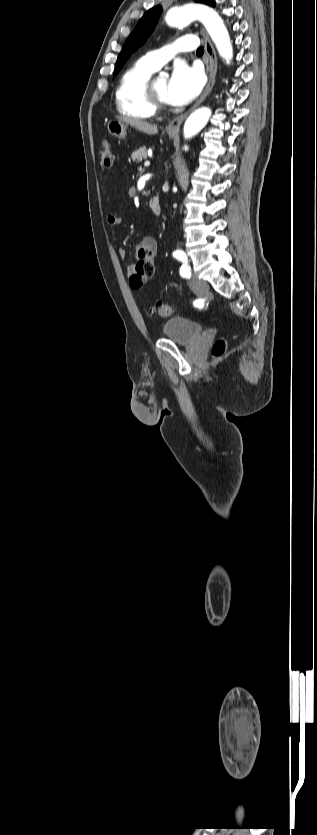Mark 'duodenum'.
Returning a JSON list of instances; mask_svg holds the SVG:
<instances>
[{
	"mask_svg": "<svg viewBox=\"0 0 317 835\" xmlns=\"http://www.w3.org/2000/svg\"><path fill=\"white\" fill-rule=\"evenodd\" d=\"M149 207L154 214H156V215L160 214L161 204H160V199H159L158 196H154L150 199Z\"/></svg>",
	"mask_w": 317,
	"mask_h": 835,
	"instance_id": "obj_1",
	"label": "duodenum"
}]
</instances>
